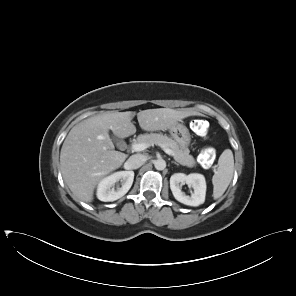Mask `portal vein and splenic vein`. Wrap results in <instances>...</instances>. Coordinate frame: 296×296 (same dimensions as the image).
Returning <instances> with one entry per match:
<instances>
[{
  "mask_svg": "<svg viewBox=\"0 0 296 296\" xmlns=\"http://www.w3.org/2000/svg\"><path fill=\"white\" fill-rule=\"evenodd\" d=\"M160 146L165 151V153H167L168 155H170V156L174 155L173 151L171 149H169L168 147H166L165 145H160ZM148 147H149V145L146 143H136V144L132 145V149L135 152L143 151V150L147 149Z\"/></svg>",
  "mask_w": 296,
  "mask_h": 296,
  "instance_id": "obj_1",
  "label": "portal vein and splenic vein"
}]
</instances>
